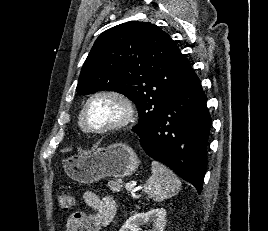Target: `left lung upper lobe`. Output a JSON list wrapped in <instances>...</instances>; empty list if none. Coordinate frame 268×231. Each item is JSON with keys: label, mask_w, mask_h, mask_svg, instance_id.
Returning a JSON list of instances; mask_svg holds the SVG:
<instances>
[{"label": "left lung upper lobe", "mask_w": 268, "mask_h": 231, "mask_svg": "<svg viewBox=\"0 0 268 231\" xmlns=\"http://www.w3.org/2000/svg\"><path fill=\"white\" fill-rule=\"evenodd\" d=\"M193 73L176 43L148 22H126L103 32L85 60L76 91L124 94L138 109L132 129L145 133L159 119L171 93Z\"/></svg>", "instance_id": "left-lung-upper-lobe-1"}]
</instances>
